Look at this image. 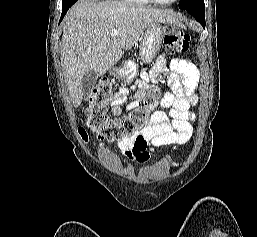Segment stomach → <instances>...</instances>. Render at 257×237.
Listing matches in <instances>:
<instances>
[{"label": "stomach", "instance_id": "0dacf381", "mask_svg": "<svg viewBox=\"0 0 257 237\" xmlns=\"http://www.w3.org/2000/svg\"><path fill=\"white\" fill-rule=\"evenodd\" d=\"M166 35V27L160 22L149 25L142 34L140 43V59L144 63H150L158 54L164 36ZM137 69L133 61H126L118 70L120 77L128 83L136 76Z\"/></svg>", "mask_w": 257, "mask_h": 237}]
</instances>
